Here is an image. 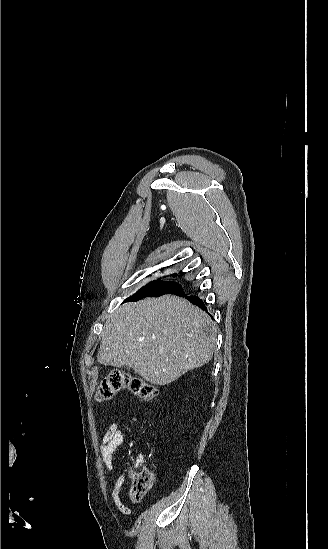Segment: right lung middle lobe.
Returning <instances> with one entry per match:
<instances>
[{
	"mask_svg": "<svg viewBox=\"0 0 328 549\" xmlns=\"http://www.w3.org/2000/svg\"><path fill=\"white\" fill-rule=\"evenodd\" d=\"M176 276L175 274L173 275ZM183 288L179 283L171 281H161V279L152 281L146 286L138 290L136 294L127 298L128 301H138L144 297L148 296H161L164 294H178L183 295Z\"/></svg>",
	"mask_w": 328,
	"mask_h": 549,
	"instance_id": "obj_1",
	"label": "right lung middle lobe"
}]
</instances>
